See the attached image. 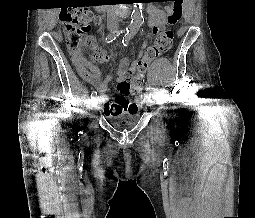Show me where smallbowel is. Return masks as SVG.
<instances>
[{
	"label": "small bowel",
	"instance_id": "1",
	"mask_svg": "<svg viewBox=\"0 0 255 218\" xmlns=\"http://www.w3.org/2000/svg\"><path fill=\"white\" fill-rule=\"evenodd\" d=\"M182 2V1H181ZM181 2L179 3V7L181 9ZM174 4L165 7L164 9L158 8L154 5L147 6V12L149 14L148 24L150 27V33L147 37V42L155 35L160 27L163 25L166 16L170 15L174 11ZM146 42V44H147ZM146 53L140 52L137 60L133 62V64L129 67V61L126 58H123L120 61L119 68L117 71V83L118 87L124 83H127L126 76H131L135 74L138 70V63L145 59ZM96 61L98 63H108L110 60V56L100 50L96 53ZM150 62V61H149ZM148 62V63H149ZM84 69L87 81H89L96 89L99 94V101H105V93L108 91V83L112 79V76L104 77L102 71L99 69L96 63L85 60L84 59ZM126 99V94L123 91H118V93L114 96V98L108 101L111 104V108L115 107L116 104H122ZM106 104V102H105ZM104 104L103 110L106 114H110L111 109L106 107Z\"/></svg>",
	"mask_w": 255,
	"mask_h": 218
}]
</instances>
